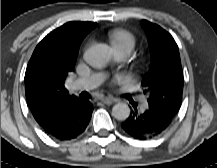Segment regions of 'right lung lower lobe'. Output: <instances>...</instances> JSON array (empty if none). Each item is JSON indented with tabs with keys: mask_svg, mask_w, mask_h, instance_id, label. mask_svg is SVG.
Here are the masks:
<instances>
[{
	"mask_svg": "<svg viewBox=\"0 0 217 168\" xmlns=\"http://www.w3.org/2000/svg\"><path fill=\"white\" fill-rule=\"evenodd\" d=\"M92 112L93 107L89 101L78 99L60 106L48 118L38 123L50 136L59 140H70L85 131Z\"/></svg>",
	"mask_w": 217,
	"mask_h": 168,
	"instance_id": "1",
	"label": "right lung lower lobe"
}]
</instances>
